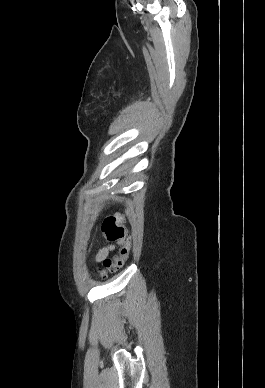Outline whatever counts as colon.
<instances>
[{"mask_svg": "<svg viewBox=\"0 0 265 388\" xmlns=\"http://www.w3.org/2000/svg\"><path fill=\"white\" fill-rule=\"evenodd\" d=\"M126 217L124 213H116L107 217L102 224V232L110 242H117L121 249L117 255L107 258L103 261L99 269L100 274L105 276L107 273L114 272L124 266L128 260L132 247V238L128 235L126 228Z\"/></svg>", "mask_w": 265, "mask_h": 388, "instance_id": "1", "label": "colon"}]
</instances>
